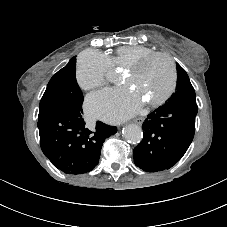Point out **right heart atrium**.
<instances>
[{
	"mask_svg": "<svg viewBox=\"0 0 227 227\" xmlns=\"http://www.w3.org/2000/svg\"><path fill=\"white\" fill-rule=\"evenodd\" d=\"M111 68V62L105 54L97 50H85L77 62V82L86 91L100 88L106 83Z\"/></svg>",
	"mask_w": 227,
	"mask_h": 227,
	"instance_id": "1",
	"label": "right heart atrium"
}]
</instances>
